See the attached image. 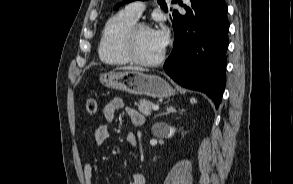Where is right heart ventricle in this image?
<instances>
[{
  "instance_id": "1",
  "label": "right heart ventricle",
  "mask_w": 293,
  "mask_h": 184,
  "mask_svg": "<svg viewBox=\"0 0 293 184\" xmlns=\"http://www.w3.org/2000/svg\"><path fill=\"white\" fill-rule=\"evenodd\" d=\"M136 21L137 19L121 11L106 22L98 45L102 62L108 65H125L131 62L124 52L123 41L127 30Z\"/></svg>"
}]
</instances>
